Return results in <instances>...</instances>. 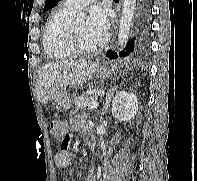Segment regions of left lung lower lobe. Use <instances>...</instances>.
<instances>
[{
	"label": "left lung lower lobe",
	"instance_id": "obj_1",
	"mask_svg": "<svg viewBox=\"0 0 197 181\" xmlns=\"http://www.w3.org/2000/svg\"><path fill=\"white\" fill-rule=\"evenodd\" d=\"M150 1L151 0H138L134 28L126 45L122 51L119 52L120 57L139 59L148 53L151 17ZM106 55L109 58H117V53L111 50H109Z\"/></svg>",
	"mask_w": 197,
	"mask_h": 181
}]
</instances>
